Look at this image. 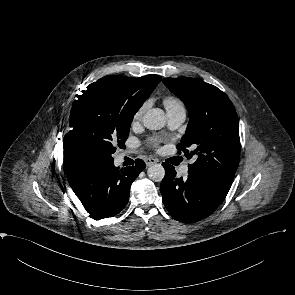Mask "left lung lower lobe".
Here are the masks:
<instances>
[{"label":"left lung lower lobe","instance_id":"1","mask_svg":"<svg viewBox=\"0 0 295 295\" xmlns=\"http://www.w3.org/2000/svg\"><path fill=\"white\" fill-rule=\"evenodd\" d=\"M162 165L165 177L160 191L163 203L174 219L187 223L200 221L212 214L225 199L226 194L205 179L190 173L186 179L177 178L173 166Z\"/></svg>","mask_w":295,"mask_h":295}]
</instances>
